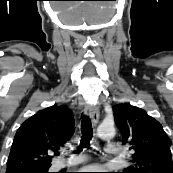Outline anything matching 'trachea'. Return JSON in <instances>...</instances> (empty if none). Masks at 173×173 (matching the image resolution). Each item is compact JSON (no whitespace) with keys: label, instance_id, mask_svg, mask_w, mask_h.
Returning a JSON list of instances; mask_svg holds the SVG:
<instances>
[{"label":"trachea","instance_id":"3493384b","mask_svg":"<svg viewBox=\"0 0 173 173\" xmlns=\"http://www.w3.org/2000/svg\"><path fill=\"white\" fill-rule=\"evenodd\" d=\"M81 140L80 145L78 146V149L76 152H80L83 150L84 147H89L90 140L93 136V128L92 123L89 117L83 116L81 121Z\"/></svg>","mask_w":173,"mask_h":173}]
</instances>
